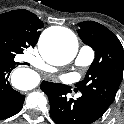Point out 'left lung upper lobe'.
Listing matches in <instances>:
<instances>
[{
    "label": "left lung upper lobe",
    "instance_id": "5c2ea615",
    "mask_svg": "<svg viewBox=\"0 0 124 124\" xmlns=\"http://www.w3.org/2000/svg\"><path fill=\"white\" fill-rule=\"evenodd\" d=\"M79 27V37L94 49L95 59L76 87L105 112L123 79V47L114 33L97 22H81Z\"/></svg>",
    "mask_w": 124,
    "mask_h": 124
}]
</instances>
